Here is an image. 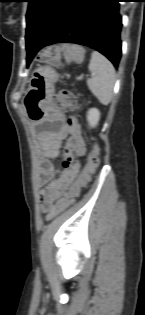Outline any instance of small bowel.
<instances>
[{
	"label": "small bowel",
	"mask_w": 145,
	"mask_h": 315,
	"mask_svg": "<svg viewBox=\"0 0 145 315\" xmlns=\"http://www.w3.org/2000/svg\"><path fill=\"white\" fill-rule=\"evenodd\" d=\"M66 148L63 151L62 167L57 177H54L55 167L51 162L59 156L62 141L67 137ZM86 145L80 135L75 118H68L59 131L47 132L40 141L38 154L37 179L42 185L41 205L52 217L51 211L57 200L74 187L80 188L83 172L80 175V165L73 161V154L81 157L86 153ZM88 176V180H89Z\"/></svg>",
	"instance_id": "small-bowel-1"
}]
</instances>
